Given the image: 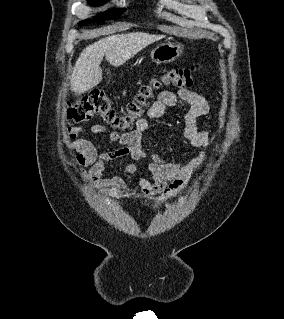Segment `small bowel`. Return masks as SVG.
I'll use <instances>...</instances> for the list:
<instances>
[{"instance_id": "c3829d8e", "label": "small bowel", "mask_w": 284, "mask_h": 319, "mask_svg": "<svg viewBox=\"0 0 284 319\" xmlns=\"http://www.w3.org/2000/svg\"><path fill=\"white\" fill-rule=\"evenodd\" d=\"M185 105L188 109L185 114L183 136L193 147L207 151L214 138L198 127V119L209 113L210 106L208 101L198 93L188 89H180L177 93L163 91L149 109L148 118H161L168 107ZM147 127L146 118H139L135 129L124 134L111 131L103 125L92 126V133L104 135L109 141L120 144L119 148L104 153H98L94 144L88 139L78 137L85 131L82 127L69 128L67 137L70 140L69 150L76 153L75 163L83 180L95 190L113 189L122 196H129V186L122 178L117 176L102 178L105 167L117 159H124L126 160L125 172L135 174L137 173L135 162L149 159L147 168L151 179L138 176V185L144 196L155 199L153 203L148 204V207L159 210L188 184L195 171L206 164L207 154L202 153L197 160L184 165L165 159L158 154L151 155L142 140L143 132ZM87 167H89L88 170H86Z\"/></svg>"}]
</instances>
